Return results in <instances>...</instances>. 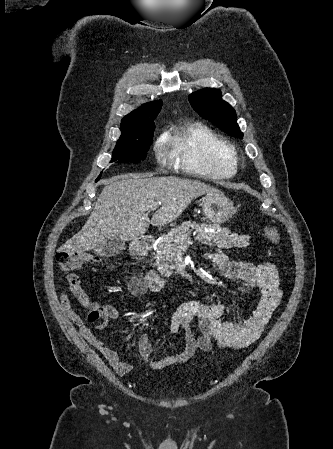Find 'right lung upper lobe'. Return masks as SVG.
I'll list each match as a JSON object with an SVG mask.
<instances>
[{"label":"right lung upper lobe","instance_id":"1","mask_svg":"<svg viewBox=\"0 0 333 449\" xmlns=\"http://www.w3.org/2000/svg\"><path fill=\"white\" fill-rule=\"evenodd\" d=\"M162 102L156 101L144 104L137 110L126 115L121 122L120 129L122 134L120 139H135L141 137V131L144 124L152 118H155L161 110Z\"/></svg>","mask_w":333,"mask_h":449}]
</instances>
